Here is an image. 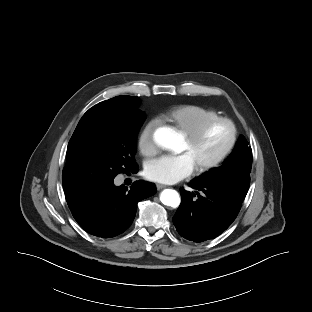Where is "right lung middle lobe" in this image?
Masks as SVG:
<instances>
[{
  "label": "right lung middle lobe",
  "instance_id": "dd1d6c3e",
  "mask_svg": "<svg viewBox=\"0 0 312 312\" xmlns=\"http://www.w3.org/2000/svg\"><path fill=\"white\" fill-rule=\"evenodd\" d=\"M133 105L101 102L79 121L67 147L62 183L66 200L135 171L136 137L146 116Z\"/></svg>",
  "mask_w": 312,
  "mask_h": 312
}]
</instances>
